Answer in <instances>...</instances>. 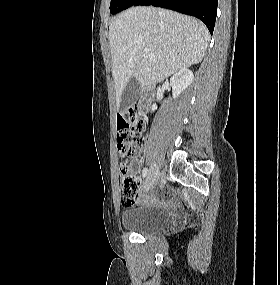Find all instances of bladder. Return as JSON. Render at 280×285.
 <instances>
[{"label": "bladder", "instance_id": "bladder-1", "mask_svg": "<svg viewBox=\"0 0 280 285\" xmlns=\"http://www.w3.org/2000/svg\"><path fill=\"white\" fill-rule=\"evenodd\" d=\"M172 217L149 205H139L122 212L123 228L139 234H151L165 229Z\"/></svg>", "mask_w": 280, "mask_h": 285}]
</instances>
